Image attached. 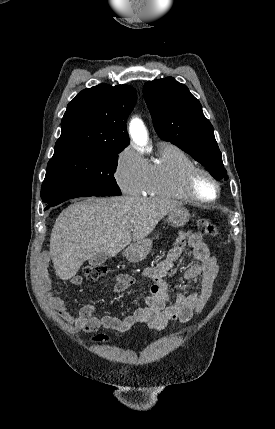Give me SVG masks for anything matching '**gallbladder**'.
I'll list each match as a JSON object with an SVG mask.
<instances>
[{"mask_svg":"<svg viewBox=\"0 0 275 429\" xmlns=\"http://www.w3.org/2000/svg\"><path fill=\"white\" fill-rule=\"evenodd\" d=\"M107 259L108 255L106 253H97L95 256L89 259V264L91 266H99L103 264Z\"/></svg>","mask_w":275,"mask_h":429,"instance_id":"bac80fb5","label":"gallbladder"}]
</instances>
